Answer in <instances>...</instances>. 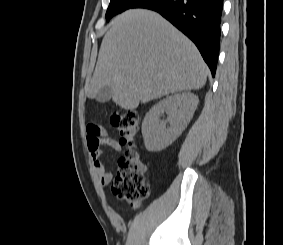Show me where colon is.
<instances>
[{
  "mask_svg": "<svg viewBox=\"0 0 283 245\" xmlns=\"http://www.w3.org/2000/svg\"><path fill=\"white\" fill-rule=\"evenodd\" d=\"M110 122L120 135V143L125 147L118 161L119 170L112 181L111 190L118 199L137 209L150 196L145 178L146 165L133 144L139 128V117L131 110L115 111Z\"/></svg>",
  "mask_w": 283,
  "mask_h": 245,
  "instance_id": "5ec220e1",
  "label": "colon"
}]
</instances>
